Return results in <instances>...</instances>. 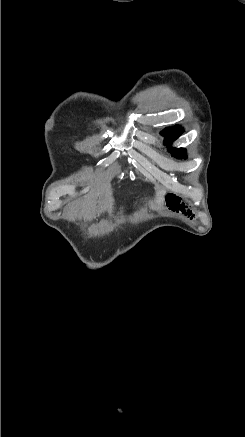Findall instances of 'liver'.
<instances>
[{
  "mask_svg": "<svg viewBox=\"0 0 245 437\" xmlns=\"http://www.w3.org/2000/svg\"><path fill=\"white\" fill-rule=\"evenodd\" d=\"M164 194H165L164 191H157V192H156L157 203H158L159 205H161V204L163 203V201H164Z\"/></svg>",
  "mask_w": 245,
  "mask_h": 437,
  "instance_id": "liver-1",
  "label": "liver"
}]
</instances>
